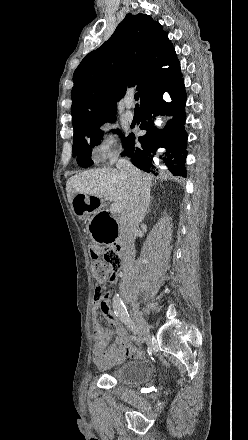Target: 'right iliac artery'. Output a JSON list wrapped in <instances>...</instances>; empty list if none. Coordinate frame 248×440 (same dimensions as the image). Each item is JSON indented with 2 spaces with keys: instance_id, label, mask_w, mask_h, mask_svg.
Instances as JSON below:
<instances>
[{
  "instance_id": "82829eb1",
  "label": "right iliac artery",
  "mask_w": 248,
  "mask_h": 440,
  "mask_svg": "<svg viewBox=\"0 0 248 440\" xmlns=\"http://www.w3.org/2000/svg\"><path fill=\"white\" fill-rule=\"evenodd\" d=\"M113 309L114 313L117 317L125 324L127 325L134 334L137 333V327L133 320L130 318V315L126 309V306L124 305L123 301L119 297V294H116L113 297Z\"/></svg>"
}]
</instances>
